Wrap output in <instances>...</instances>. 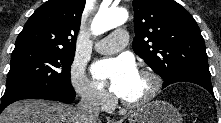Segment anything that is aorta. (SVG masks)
Returning <instances> with one entry per match:
<instances>
[{
  "label": "aorta",
  "instance_id": "762f6f07",
  "mask_svg": "<svg viewBox=\"0 0 221 123\" xmlns=\"http://www.w3.org/2000/svg\"><path fill=\"white\" fill-rule=\"evenodd\" d=\"M127 19L128 12L124 8L100 9L92 21V34L95 36L100 35L124 24Z\"/></svg>",
  "mask_w": 221,
  "mask_h": 123
}]
</instances>
